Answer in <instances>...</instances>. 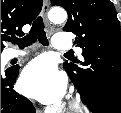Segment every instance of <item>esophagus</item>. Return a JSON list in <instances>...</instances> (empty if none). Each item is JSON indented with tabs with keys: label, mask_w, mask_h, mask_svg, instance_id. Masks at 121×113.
<instances>
[{
	"label": "esophagus",
	"mask_w": 121,
	"mask_h": 113,
	"mask_svg": "<svg viewBox=\"0 0 121 113\" xmlns=\"http://www.w3.org/2000/svg\"><path fill=\"white\" fill-rule=\"evenodd\" d=\"M48 10H49V1L43 0V7H42L41 15H42L44 21L46 22L47 26H49V23H48V20H47Z\"/></svg>",
	"instance_id": "obj_1"
}]
</instances>
